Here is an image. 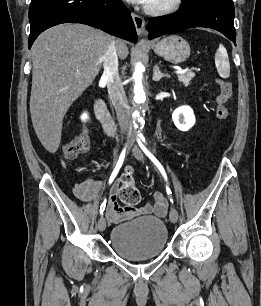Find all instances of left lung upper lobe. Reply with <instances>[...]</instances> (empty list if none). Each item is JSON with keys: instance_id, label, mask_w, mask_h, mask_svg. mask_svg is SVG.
Masks as SVG:
<instances>
[{"instance_id": "5c2ea615", "label": "left lung upper lobe", "mask_w": 261, "mask_h": 306, "mask_svg": "<svg viewBox=\"0 0 261 306\" xmlns=\"http://www.w3.org/2000/svg\"><path fill=\"white\" fill-rule=\"evenodd\" d=\"M195 0H182V4H187V3H190V2H193Z\"/></svg>"}]
</instances>
